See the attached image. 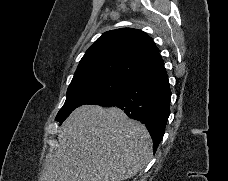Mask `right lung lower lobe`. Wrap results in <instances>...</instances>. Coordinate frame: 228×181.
<instances>
[{
	"instance_id": "obj_1",
	"label": "right lung lower lobe",
	"mask_w": 228,
	"mask_h": 181,
	"mask_svg": "<svg viewBox=\"0 0 228 181\" xmlns=\"http://www.w3.org/2000/svg\"><path fill=\"white\" fill-rule=\"evenodd\" d=\"M170 99L168 76L161 63L132 78L117 95L99 105L118 107L130 118L145 124L155 152L165 133Z\"/></svg>"
}]
</instances>
